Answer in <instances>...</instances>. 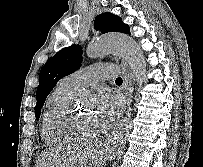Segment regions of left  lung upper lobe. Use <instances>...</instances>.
<instances>
[{"label":"left lung upper lobe","instance_id":"1","mask_svg":"<svg viewBox=\"0 0 203 167\" xmlns=\"http://www.w3.org/2000/svg\"><path fill=\"white\" fill-rule=\"evenodd\" d=\"M95 28L102 33L121 32L130 34V28L122 22V18L110 12L102 13L95 18ZM82 62V48L79 45L66 47L56 53L41 69L39 86L36 91L37 104L35 106L36 119H39L44 102L63 77L75 72Z\"/></svg>","mask_w":203,"mask_h":167}]
</instances>
